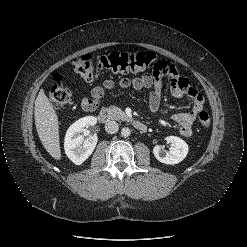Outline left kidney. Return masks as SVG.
<instances>
[{"label": "left kidney", "mask_w": 247, "mask_h": 247, "mask_svg": "<svg viewBox=\"0 0 247 247\" xmlns=\"http://www.w3.org/2000/svg\"><path fill=\"white\" fill-rule=\"evenodd\" d=\"M166 141L171 144L169 150H165L161 145H156L153 148L155 158L164 164H178L188 154V144L179 137L169 136Z\"/></svg>", "instance_id": "obj_1"}]
</instances>
